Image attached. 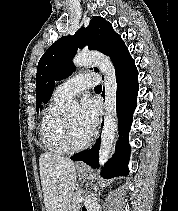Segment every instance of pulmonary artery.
I'll list each match as a JSON object with an SVG mask.
<instances>
[{"label":"pulmonary artery","mask_w":178,"mask_h":211,"mask_svg":"<svg viewBox=\"0 0 178 211\" xmlns=\"http://www.w3.org/2000/svg\"><path fill=\"white\" fill-rule=\"evenodd\" d=\"M98 82V75L96 73L78 75L59 85L55 91V95L61 99L69 100L86 88L97 85Z\"/></svg>","instance_id":"pulmonary-artery-1"}]
</instances>
